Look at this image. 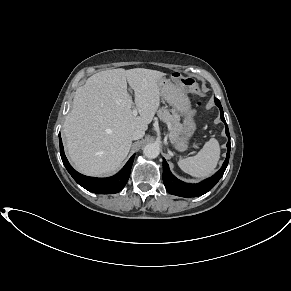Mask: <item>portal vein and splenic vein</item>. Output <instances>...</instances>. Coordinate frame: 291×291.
I'll list each match as a JSON object with an SVG mask.
<instances>
[{"label": "portal vein and splenic vein", "mask_w": 291, "mask_h": 291, "mask_svg": "<svg viewBox=\"0 0 291 291\" xmlns=\"http://www.w3.org/2000/svg\"><path fill=\"white\" fill-rule=\"evenodd\" d=\"M132 114H133V116L137 115V108L136 107H133Z\"/></svg>", "instance_id": "obj_1"}]
</instances>
